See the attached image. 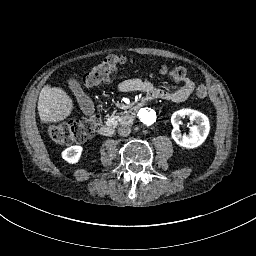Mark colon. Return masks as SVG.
<instances>
[{
	"mask_svg": "<svg viewBox=\"0 0 256 256\" xmlns=\"http://www.w3.org/2000/svg\"><path fill=\"white\" fill-rule=\"evenodd\" d=\"M126 62L122 56H108L101 62L95 64L85 75V85L96 87L107 82L113 74L120 70ZM162 74L174 80H181L186 77L187 71L183 67L173 69L163 68ZM195 95L198 99H206L208 92L204 85L198 84L195 88ZM98 124L96 117H84L71 122L70 124L47 125L48 135L56 142L71 144L85 141L95 130Z\"/></svg>",
	"mask_w": 256,
	"mask_h": 256,
	"instance_id": "5ec220e1",
	"label": "colon"
}]
</instances>
